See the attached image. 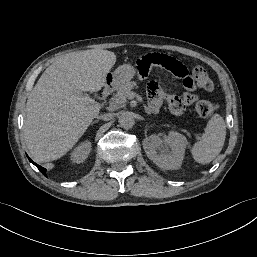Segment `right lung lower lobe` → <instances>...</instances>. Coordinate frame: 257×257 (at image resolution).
<instances>
[{"mask_svg": "<svg viewBox=\"0 0 257 257\" xmlns=\"http://www.w3.org/2000/svg\"><path fill=\"white\" fill-rule=\"evenodd\" d=\"M29 160L42 172L43 175L46 174V169H45V168H43V167L37 165V164L34 163L30 158H29Z\"/></svg>", "mask_w": 257, "mask_h": 257, "instance_id": "1", "label": "right lung lower lobe"}]
</instances>
